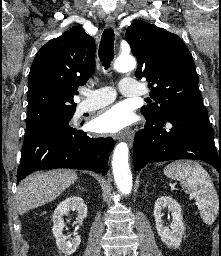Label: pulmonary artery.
I'll return each instance as SVG.
<instances>
[{
    "mask_svg": "<svg viewBox=\"0 0 221 256\" xmlns=\"http://www.w3.org/2000/svg\"><path fill=\"white\" fill-rule=\"evenodd\" d=\"M120 92L127 97H137L142 95L141 85L132 78H123L120 81ZM85 100H83L76 109V115L90 112L102 108L115 99V91L111 87H102L100 89L87 91L84 93Z\"/></svg>",
    "mask_w": 221,
    "mask_h": 256,
    "instance_id": "1",
    "label": "pulmonary artery"
}]
</instances>
